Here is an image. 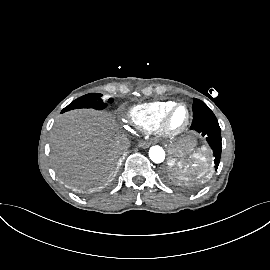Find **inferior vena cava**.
I'll list each match as a JSON object with an SVG mask.
<instances>
[{"mask_svg":"<svg viewBox=\"0 0 270 270\" xmlns=\"http://www.w3.org/2000/svg\"><path fill=\"white\" fill-rule=\"evenodd\" d=\"M130 146L129 140L126 137H119L114 143H113V149L116 153L121 154L128 150Z\"/></svg>","mask_w":270,"mask_h":270,"instance_id":"inferior-vena-cava-1","label":"inferior vena cava"}]
</instances>
